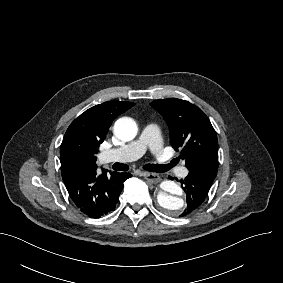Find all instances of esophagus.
<instances>
[{
    "label": "esophagus",
    "mask_w": 283,
    "mask_h": 283,
    "mask_svg": "<svg viewBox=\"0 0 283 283\" xmlns=\"http://www.w3.org/2000/svg\"><path fill=\"white\" fill-rule=\"evenodd\" d=\"M140 176H143L148 182L157 184L161 181V177L157 173H149V172H138Z\"/></svg>",
    "instance_id": "obj_1"
}]
</instances>
